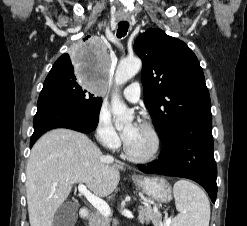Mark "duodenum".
Wrapping results in <instances>:
<instances>
[{
    "mask_svg": "<svg viewBox=\"0 0 247 226\" xmlns=\"http://www.w3.org/2000/svg\"><path fill=\"white\" fill-rule=\"evenodd\" d=\"M89 216H90V210L88 208L83 207L80 209V218L82 220H84V221L87 220L89 218Z\"/></svg>",
    "mask_w": 247,
    "mask_h": 226,
    "instance_id": "1",
    "label": "duodenum"
}]
</instances>
